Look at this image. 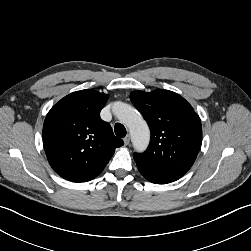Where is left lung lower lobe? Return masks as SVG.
Wrapping results in <instances>:
<instances>
[{"label": "left lung lower lobe", "mask_w": 251, "mask_h": 251, "mask_svg": "<svg viewBox=\"0 0 251 251\" xmlns=\"http://www.w3.org/2000/svg\"><path fill=\"white\" fill-rule=\"evenodd\" d=\"M140 173L150 182L157 184H166L178 180L184 174L170 171L155 170L137 165Z\"/></svg>", "instance_id": "0a47b994"}]
</instances>
